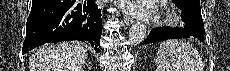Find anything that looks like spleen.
<instances>
[{
  "label": "spleen",
  "mask_w": 230,
  "mask_h": 71,
  "mask_svg": "<svg viewBox=\"0 0 230 71\" xmlns=\"http://www.w3.org/2000/svg\"><path fill=\"white\" fill-rule=\"evenodd\" d=\"M155 63L157 71H203L204 69L197 50L180 40L162 42Z\"/></svg>",
  "instance_id": "obj_1"
}]
</instances>
